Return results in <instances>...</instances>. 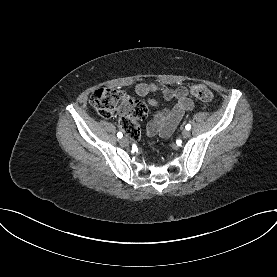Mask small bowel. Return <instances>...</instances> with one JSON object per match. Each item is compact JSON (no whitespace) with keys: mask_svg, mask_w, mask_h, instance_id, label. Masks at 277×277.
<instances>
[{"mask_svg":"<svg viewBox=\"0 0 277 277\" xmlns=\"http://www.w3.org/2000/svg\"><path fill=\"white\" fill-rule=\"evenodd\" d=\"M134 90L137 95L147 97L150 94H159L166 101L176 100V104L172 108L156 110L153 113L152 120L146 126V135L162 137L169 136L177 127L184 114L194 109V102L188 97V90L184 86L177 88H169L165 85L155 83H138ZM150 106H157L158 100L152 97L147 98ZM140 131L133 139H138Z\"/></svg>","mask_w":277,"mask_h":277,"instance_id":"obj_1","label":"small bowel"}]
</instances>
